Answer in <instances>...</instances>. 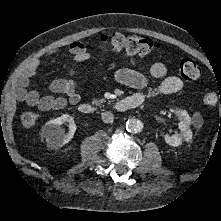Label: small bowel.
<instances>
[{"mask_svg":"<svg viewBox=\"0 0 221 221\" xmlns=\"http://www.w3.org/2000/svg\"><path fill=\"white\" fill-rule=\"evenodd\" d=\"M73 60V64L86 61L91 58L90 52L85 45L80 42L71 43L66 50ZM59 51L54 50L46 54V57L56 55ZM131 64L136 65L134 59L131 58ZM40 65V59L30 61L20 72L16 86L18 96L21 100L25 101L28 105L37 107L41 111L61 110L67 103L76 105L80 101V94L77 89V82L74 79L76 70L74 65L69 70L70 77L52 80L49 83V89L55 94L61 95H40L36 90H27L30 79L35 75ZM149 74L156 79H162L160 85L144 93H136L141 95L146 100L147 98L169 95L179 92L183 86V81L178 76H167V69L164 64L157 62L150 65L148 68ZM116 80L133 89H141L147 85V78L136 71L134 68H122L116 72Z\"/></svg>","mask_w":221,"mask_h":221,"instance_id":"obj_1","label":"small bowel"}]
</instances>
